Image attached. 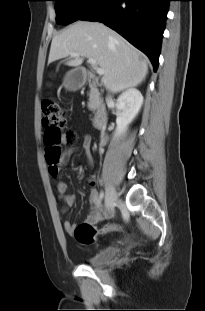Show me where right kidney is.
<instances>
[{"label":"right kidney","mask_w":205,"mask_h":311,"mask_svg":"<svg viewBox=\"0 0 205 311\" xmlns=\"http://www.w3.org/2000/svg\"><path fill=\"white\" fill-rule=\"evenodd\" d=\"M142 104L143 96L135 88L126 90L118 97L115 137H120L127 131L129 124L138 115Z\"/></svg>","instance_id":"1"}]
</instances>
